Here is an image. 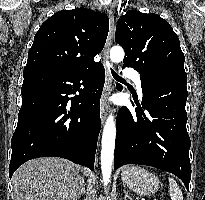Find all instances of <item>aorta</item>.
Returning a JSON list of instances; mask_svg holds the SVG:
<instances>
[{"instance_id":"obj_1","label":"aorta","mask_w":205,"mask_h":200,"mask_svg":"<svg viewBox=\"0 0 205 200\" xmlns=\"http://www.w3.org/2000/svg\"><path fill=\"white\" fill-rule=\"evenodd\" d=\"M124 50L121 46H114L110 50V60L119 63L124 58ZM116 138V124L114 116L111 114L107 118L102 135L101 147V171L103 184L106 187L110 183L112 164L114 158V147Z\"/></svg>"}]
</instances>
